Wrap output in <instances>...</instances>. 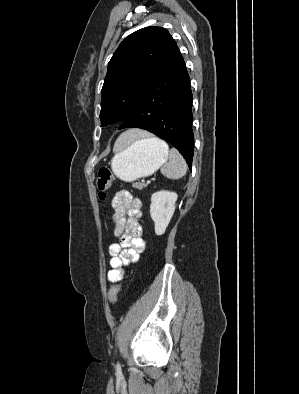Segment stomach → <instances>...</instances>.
Instances as JSON below:
<instances>
[{
  "instance_id": "0dacf381",
  "label": "stomach",
  "mask_w": 299,
  "mask_h": 394,
  "mask_svg": "<svg viewBox=\"0 0 299 394\" xmlns=\"http://www.w3.org/2000/svg\"><path fill=\"white\" fill-rule=\"evenodd\" d=\"M167 159L166 147L140 139L114 156L112 170L119 179L132 182L152 175Z\"/></svg>"
}]
</instances>
